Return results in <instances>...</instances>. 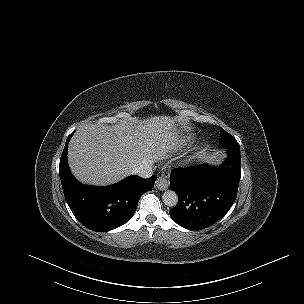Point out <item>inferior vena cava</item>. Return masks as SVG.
<instances>
[{
	"instance_id": "1",
	"label": "inferior vena cava",
	"mask_w": 304,
	"mask_h": 304,
	"mask_svg": "<svg viewBox=\"0 0 304 304\" xmlns=\"http://www.w3.org/2000/svg\"><path fill=\"white\" fill-rule=\"evenodd\" d=\"M153 164L149 162H143L142 164L136 166L132 170V174L137 175L142 178H149L153 174Z\"/></svg>"
}]
</instances>
